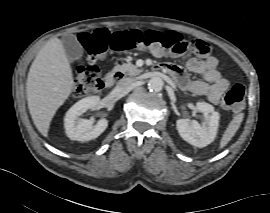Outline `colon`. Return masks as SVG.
Wrapping results in <instances>:
<instances>
[{
    "label": "colon",
    "mask_w": 270,
    "mask_h": 213,
    "mask_svg": "<svg viewBox=\"0 0 270 213\" xmlns=\"http://www.w3.org/2000/svg\"><path fill=\"white\" fill-rule=\"evenodd\" d=\"M80 43L87 53L88 66L76 69L73 94L83 97L104 87L100 71L95 64L100 62L107 52H121L127 49H141L158 57L170 54L194 53L205 55L209 46L197 39H186L173 31L130 30L111 34L100 28L93 32H84L79 37ZM245 90L241 84H234L225 93L222 107L225 109H241Z\"/></svg>",
    "instance_id": "5ec220e1"
}]
</instances>
